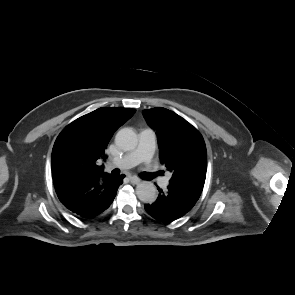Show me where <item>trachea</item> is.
Segmentation results:
<instances>
[{
    "instance_id": "3493384b",
    "label": "trachea",
    "mask_w": 295,
    "mask_h": 295,
    "mask_svg": "<svg viewBox=\"0 0 295 295\" xmlns=\"http://www.w3.org/2000/svg\"><path fill=\"white\" fill-rule=\"evenodd\" d=\"M114 174H119L120 173V170L119 169H114ZM140 176L142 178H146V179H152L154 177V175H151V174H148V173H141Z\"/></svg>"
}]
</instances>
